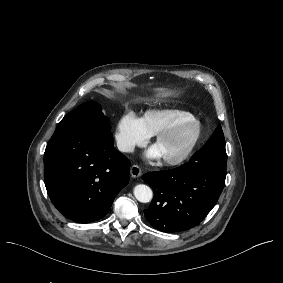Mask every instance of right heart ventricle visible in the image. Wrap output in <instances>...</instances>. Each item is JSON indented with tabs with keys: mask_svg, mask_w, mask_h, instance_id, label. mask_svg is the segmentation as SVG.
Masks as SVG:
<instances>
[{
	"mask_svg": "<svg viewBox=\"0 0 283 283\" xmlns=\"http://www.w3.org/2000/svg\"><path fill=\"white\" fill-rule=\"evenodd\" d=\"M190 116H192L191 113L177 109L149 110L145 114L144 121L153 134H158L179 119Z\"/></svg>",
	"mask_w": 283,
	"mask_h": 283,
	"instance_id": "obj_1",
	"label": "right heart ventricle"
}]
</instances>
